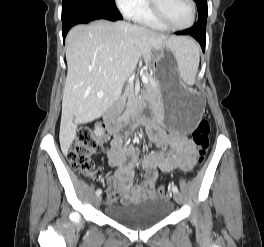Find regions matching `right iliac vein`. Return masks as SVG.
Returning a JSON list of instances; mask_svg holds the SVG:
<instances>
[{
    "mask_svg": "<svg viewBox=\"0 0 264 247\" xmlns=\"http://www.w3.org/2000/svg\"><path fill=\"white\" fill-rule=\"evenodd\" d=\"M93 202H94V205H95V206L100 205V203H101V197H100L99 195L95 196V197L93 198Z\"/></svg>",
    "mask_w": 264,
    "mask_h": 247,
    "instance_id": "63e3f726",
    "label": "right iliac vein"
}]
</instances>
